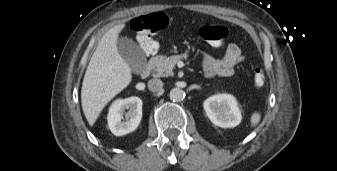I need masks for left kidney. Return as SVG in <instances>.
I'll return each instance as SVG.
<instances>
[{
  "label": "left kidney",
  "mask_w": 337,
  "mask_h": 171,
  "mask_svg": "<svg viewBox=\"0 0 337 171\" xmlns=\"http://www.w3.org/2000/svg\"><path fill=\"white\" fill-rule=\"evenodd\" d=\"M203 107L211 122L219 127L232 128L241 122V112L233 95H213L204 101Z\"/></svg>",
  "instance_id": "5707ae66"
}]
</instances>
